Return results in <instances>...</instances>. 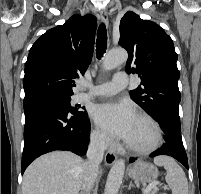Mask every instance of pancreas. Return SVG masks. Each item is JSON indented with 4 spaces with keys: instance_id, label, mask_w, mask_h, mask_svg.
I'll list each match as a JSON object with an SVG mask.
<instances>
[{
    "instance_id": "pancreas-1",
    "label": "pancreas",
    "mask_w": 201,
    "mask_h": 194,
    "mask_svg": "<svg viewBox=\"0 0 201 194\" xmlns=\"http://www.w3.org/2000/svg\"><path fill=\"white\" fill-rule=\"evenodd\" d=\"M158 191V188H153L152 190L148 191L146 194H156Z\"/></svg>"
}]
</instances>
